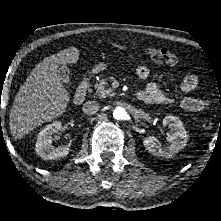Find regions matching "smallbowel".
I'll return each instance as SVG.
<instances>
[{"instance_id": "c3829d8e", "label": "small bowel", "mask_w": 221, "mask_h": 221, "mask_svg": "<svg viewBox=\"0 0 221 221\" xmlns=\"http://www.w3.org/2000/svg\"><path fill=\"white\" fill-rule=\"evenodd\" d=\"M136 74L140 79H147L150 70L147 66L141 65L136 69ZM199 79L195 74L187 75L179 88L177 101L180 106L190 112L203 111L209 102L204 99L190 96L189 94L198 86ZM137 99L148 105L169 104L174 101V98L166 95L156 83H149L147 87L137 93Z\"/></svg>"}]
</instances>
